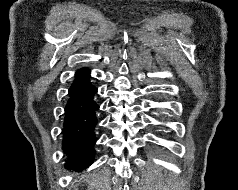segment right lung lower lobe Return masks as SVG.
I'll return each mask as SVG.
<instances>
[{"label": "right lung lower lobe", "mask_w": 238, "mask_h": 190, "mask_svg": "<svg viewBox=\"0 0 238 190\" xmlns=\"http://www.w3.org/2000/svg\"><path fill=\"white\" fill-rule=\"evenodd\" d=\"M97 88L90 82V70L83 67L69 88L62 129V148L68 159L65 167L80 171L94 161L95 128L98 123L95 101Z\"/></svg>", "instance_id": "obj_1"}]
</instances>
